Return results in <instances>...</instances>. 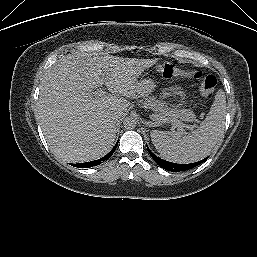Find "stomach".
<instances>
[{
  "label": "stomach",
  "mask_w": 257,
  "mask_h": 257,
  "mask_svg": "<svg viewBox=\"0 0 257 257\" xmlns=\"http://www.w3.org/2000/svg\"><path fill=\"white\" fill-rule=\"evenodd\" d=\"M156 88V84L152 79H144L138 82L139 95L147 96Z\"/></svg>",
  "instance_id": "1"
}]
</instances>
